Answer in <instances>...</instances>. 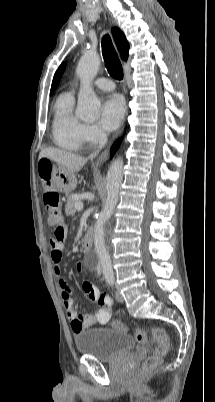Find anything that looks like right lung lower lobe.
Segmentation results:
<instances>
[{"mask_svg": "<svg viewBox=\"0 0 215 402\" xmlns=\"http://www.w3.org/2000/svg\"><path fill=\"white\" fill-rule=\"evenodd\" d=\"M120 142H121V140L119 139V140H117V141L115 142V144L113 145L112 150H111V157L114 155V153H115L116 150L118 149V147H119V145H120Z\"/></svg>", "mask_w": 215, "mask_h": 402, "instance_id": "obj_1", "label": "right lung lower lobe"}]
</instances>
